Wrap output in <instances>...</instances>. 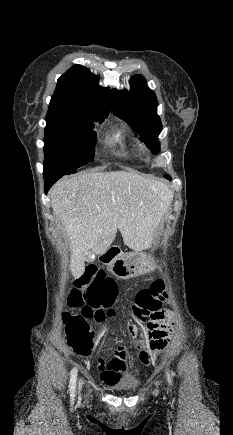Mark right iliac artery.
<instances>
[{
	"label": "right iliac artery",
	"mask_w": 233,
	"mask_h": 435,
	"mask_svg": "<svg viewBox=\"0 0 233 435\" xmlns=\"http://www.w3.org/2000/svg\"><path fill=\"white\" fill-rule=\"evenodd\" d=\"M76 379H77V369L74 368L71 372V378H70V383H69V390H70L71 396H74Z\"/></svg>",
	"instance_id": "82829eb1"
}]
</instances>
